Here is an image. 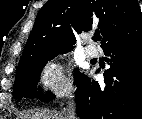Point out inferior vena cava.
<instances>
[{
    "label": "inferior vena cava",
    "mask_w": 142,
    "mask_h": 119,
    "mask_svg": "<svg viewBox=\"0 0 142 119\" xmlns=\"http://www.w3.org/2000/svg\"><path fill=\"white\" fill-rule=\"evenodd\" d=\"M68 98H69V100H68V105L66 108L65 119H76L75 104H74L73 96L70 94Z\"/></svg>",
    "instance_id": "602c4592"
}]
</instances>
